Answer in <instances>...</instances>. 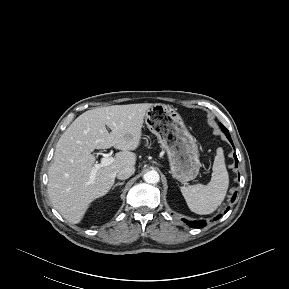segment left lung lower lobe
Returning <instances> with one entry per match:
<instances>
[{
  "instance_id": "0a47b994",
  "label": "left lung lower lobe",
  "mask_w": 289,
  "mask_h": 289,
  "mask_svg": "<svg viewBox=\"0 0 289 289\" xmlns=\"http://www.w3.org/2000/svg\"><path fill=\"white\" fill-rule=\"evenodd\" d=\"M226 134V137L228 138V140L231 142V144L233 145V142L231 140V137H230V134L229 132L228 133H225ZM234 147V146H233ZM234 158H235V165L238 166V159H237V156L236 154H234ZM236 198V193L233 195V198H232V201ZM229 210V207L227 208V210L225 211V213ZM221 217V215H218L216 218H214V220L216 219H219ZM184 222L189 225L190 227H193V228H202L204 226H206V221L204 220H200V221H188L186 219H183Z\"/></svg>"
}]
</instances>
